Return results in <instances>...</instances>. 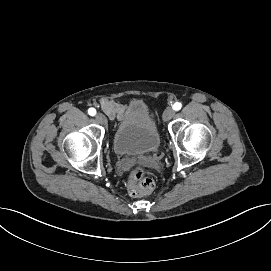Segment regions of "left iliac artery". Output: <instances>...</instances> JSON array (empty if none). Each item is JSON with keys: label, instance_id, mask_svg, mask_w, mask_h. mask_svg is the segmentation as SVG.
<instances>
[{"label": "left iliac artery", "instance_id": "1", "mask_svg": "<svg viewBox=\"0 0 271 271\" xmlns=\"http://www.w3.org/2000/svg\"><path fill=\"white\" fill-rule=\"evenodd\" d=\"M181 107H182V104L179 103V102H176V103H174V105H173V109L176 110V111L180 110Z\"/></svg>", "mask_w": 271, "mask_h": 271}]
</instances>
